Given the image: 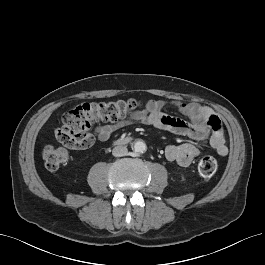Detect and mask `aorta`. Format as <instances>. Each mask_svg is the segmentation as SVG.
<instances>
[{"label": "aorta", "instance_id": "aorta-1", "mask_svg": "<svg viewBox=\"0 0 265 265\" xmlns=\"http://www.w3.org/2000/svg\"><path fill=\"white\" fill-rule=\"evenodd\" d=\"M132 149L136 153H144L146 151L147 147L143 141H137L134 143Z\"/></svg>", "mask_w": 265, "mask_h": 265}]
</instances>
